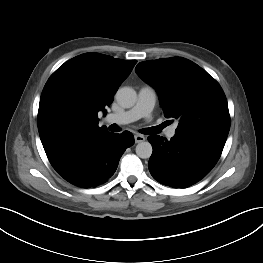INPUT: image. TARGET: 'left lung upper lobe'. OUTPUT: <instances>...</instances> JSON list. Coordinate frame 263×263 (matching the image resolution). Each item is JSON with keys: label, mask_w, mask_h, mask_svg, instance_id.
Wrapping results in <instances>:
<instances>
[{"label": "left lung upper lobe", "mask_w": 263, "mask_h": 263, "mask_svg": "<svg viewBox=\"0 0 263 263\" xmlns=\"http://www.w3.org/2000/svg\"><path fill=\"white\" fill-rule=\"evenodd\" d=\"M135 71L156 89L164 115L179 121L177 132L228 136L225 94L197 64L185 58H164L140 62Z\"/></svg>", "instance_id": "obj_1"}]
</instances>
